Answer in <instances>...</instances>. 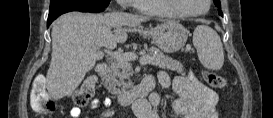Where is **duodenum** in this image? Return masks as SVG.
Segmentation results:
<instances>
[{"instance_id":"duodenum-1","label":"duodenum","mask_w":273,"mask_h":118,"mask_svg":"<svg viewBox=\"0 0 273 118\" xmlns=\"http://www.w3.org/2000/svg\"><path fill=\"white\" fill-rule=\"evenodd\" d=\"M96 71L100 76L107 72V64L100 62L96 66ZM154 87V81L145 80L137 87L124 90L117 94V102L120 105H128L138 99L144 98Z\"/></svg>"}]
</instances>
